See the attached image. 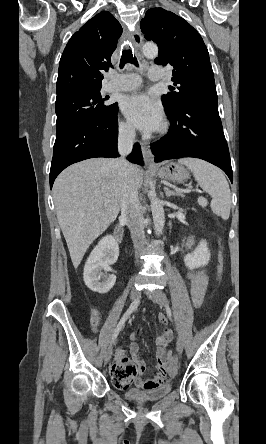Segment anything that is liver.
Returning <instances> with one entry per match:
<instances>
[{"label": "liver", "instance_id": "6515ba94", "mask_svg": "<svg viewBox=\"0 0 266 444\" xmlns=\"http://www.w3.org/2000/svg\"><path fill=\"white\" fill-rule=\"evenodd\" d=\"M131 170L137 188H141L142 170L137 165H131ZM122 187L116 160L106 158L73 164L56 178L55 210L74 268H78L90 244L117 218Z\"/></svg>", "mask_w": 266, "mask_h": 444}]
</instances>
